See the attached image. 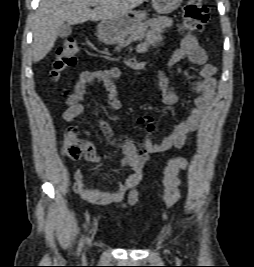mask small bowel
Listing matches in <instances>:
<instances>
[{
    "label": "small bowel",
    "mask_w": 254,
    "mask_h": 267,
    "mask_svg": "<svg viewBox=\"0 0 254 267\" xmlns=\"http://www.w3.org/2000/svg\"><path fill=\"white\" fill-rule=\"evenodd\" d=\"M172 24V19L166 16L153 19L144 40L138 44L137 49L140 52L146 51L148 46L157 42L161 34ZM185 58L200 67L199 75L201 77L200 80L192 82L190 86V92L195 97L189 114L177 122L160 140H153L151 137L156 128L154 118L152 116L139 117L135 122V127L143 129L141 147L137 146L133 138H126L122 143L123 158L120 165L123 169H130V175L111 190H98L87 188L84 182L85 173L76 170L74 172V191L82 200L92 204L104 205L118 203L128 194L126 205H134L138 200V187L142 181V170L149 154H160L173 148L184 147L189 142L191 135L200 128L214 98L216 67L207 61L206 52L193 35H187L182 39L180 47L170 56L168 67H172ZM119 77L120 70L115 67L82 73L66 101L68 107L63 113L64 120L71 122L83 114L84 106L82 102L85 99L87 88L89 84L95 81L102 82L106 90L108 108L111 111L120 110L122 103L115 85V80ZM157 79L162 91V102L166 105L175 104L178 101V95L172 85L170 73L160 70L157 72ZM98 123L101 129L110 136L111 131L108 125L103 121ZM90 161L95 164L99 163L101 157L96 154Z\"/></svg>",
    "instance_id": "c3829d8e"
}]
</instances>
